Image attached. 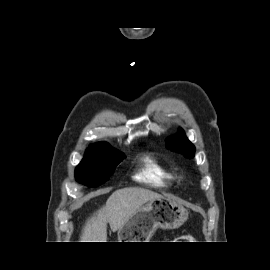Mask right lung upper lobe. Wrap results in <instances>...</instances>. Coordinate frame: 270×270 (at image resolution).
<instances>
[{
  "instance_id": "obj_1",
  "label": "right lung upper lobe",
  "mask_w": 270,
  "mask_h": 270,
  "mask_svg": "<svg viewBox=\"0 0 270 270\" xmlns=\"http://www.w3.org/2000/svg\"><path fill=\"white\" fill-rule=\"evenodd\" d=\"M108 146L109 145L105 142H99V143L90 145L88 149H98V148H103V147H108Z\"/></svg>"
}]
</instances>
